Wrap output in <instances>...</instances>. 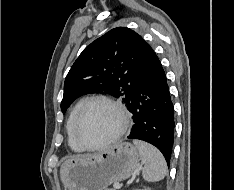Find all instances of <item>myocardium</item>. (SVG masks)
<instances>
[{
	"mask_svg": "<svg viewBox=\"0 0 234 190\" xmlns=\"http://www.w3.org/2000/svg\"><path fill=\"white\" fill-rule=\"evenodd\" d=\"M105 103L109 106H111L119 115L120 118V126L117 130V132L108 140L97 144V145H87L85 144L79 137L78 131H79V126L81 123V120L83 118L84 113L86 112V110L94 103ZM129 127V116L128 113L126 111V109L124 108V106L117 100L106 96V95H97V96H92L88 99H86L84 101V103L82 104V106L80 107L75 121H74V125H73V138L76 141V143L81 147L82 150H87V151H94V150H99V149H103L109 145H111L112 143L116 142L128 129Z\"/></svg>",
	"mask_w": 234,
	"mask_h": 190,
	"instance_id": "1",
	"label": "myocardium"
}]
</instances>
